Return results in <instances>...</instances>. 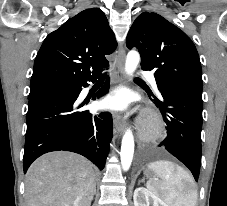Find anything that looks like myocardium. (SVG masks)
<instances>
[{
	"label": "myocardium",
	"instance_id": "f54148a6",
	"mask_svg": "<svg viewBox=\"0 0 227 206\" xmlns=\"http://www.w3.org/2000/svg\"><path fill=\"white\" fill-rule=\"evenodd\" d=\"M165 128L161 116L154 110H148L143 116L139 134L147 142H155L164 136Z\"/></svg>",
	"mask_w": 227,
	"mask_h": 206
}]
</instances>
